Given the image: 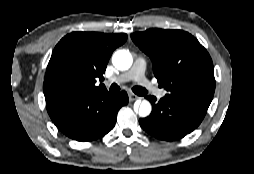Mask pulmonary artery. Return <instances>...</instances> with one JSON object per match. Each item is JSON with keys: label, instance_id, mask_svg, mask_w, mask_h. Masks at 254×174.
<instances>
[{"label": "pulmonary artery", "instance_id": "pulmonary-artery-1", "mask_svg": "<svg viewBox=\"0 0 254 174\" xmlns=\"http://www.w3.org/2000/svg\"><path fill=\"white\" fill-rule=\"evenodd\" d=\"M145 68V60L142 57H138L130 70L120 74L113 81L116 83H124L134 80L141 87L145 88L148 91L154 92V94L158 98L164 97L166 95V91L161 89H155L153 84L145 77Z\"/></svg>", "mask_w": 254, "mask_h": 174}]
</instances>
